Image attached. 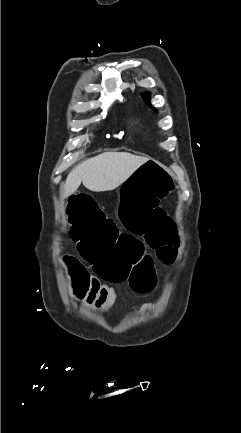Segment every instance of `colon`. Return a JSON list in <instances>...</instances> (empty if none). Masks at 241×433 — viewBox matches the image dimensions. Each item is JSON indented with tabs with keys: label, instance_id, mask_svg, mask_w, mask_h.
<instances>
[{
	"label": "colon",
	"instance_id": "1",
	"mask_svg": "<svg viewBox=\"0 0 241 433\" xmlns=\"http://www.w3.org/2000/svg\"><path fill=\"white\" fill-rule=\"evenodd\" d=\"M179 180L168 172L167 165L158 157H147L143 164H137L136 172L124 182L121 200L117 206L121 225L130 230H119L115 220H106L101 205L89 192L67 193V212L71 227V239L76 243L78 257L110 283L130 281L137 292L149 291L155 284L154 260L145 251V245L137 236H143L149 248L153 249L159 262L172 264L177 256L180 232L172 212L159 207L165 195H171ZM71 201V203H69ZM81 258H65L62 264L68 277L73 296L80 305L84 293L91 286L90 272Z\"/></svg>",
	"mask_w": 241,
	"mask_h": 433
}]
</instances>
